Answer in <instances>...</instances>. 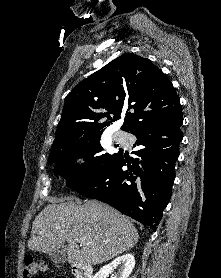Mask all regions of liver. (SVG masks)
I'll use <instances>...</instances> for the list:
<instances>
[{"instance_id":"liver-1","label":"liver","mask_w":221,"mask_h":278,"mask_svg":"<svg viewBox=\"0 0 221 278\" xmlns=\"http://www.w3.org/2000/svg\"><path fill=\"white\" fill-rule=\"evenodd\" d=\"M50 202L33 222L28 240L30 250L51 254L67 241L69 264L97 265L138 242L139 235L133 224L104 203L86 201L80 205L71 198L50 199ZM77 238L86 242L82 244Z\"/></svg>"}]
</instances>
